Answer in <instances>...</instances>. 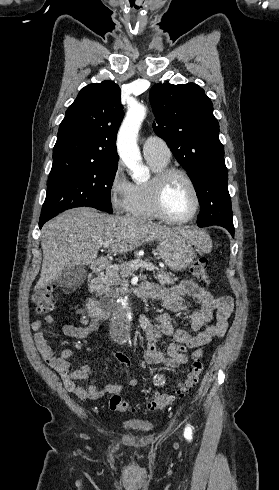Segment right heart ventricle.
Masks as SVG:
<instances>
[{
    "label": "right heart ventricle",
    "mask_w": 279,
    "mask_h": 490,
    "mask_svg": "<svg viewBox=\"0 0 279 490\" xmlns=\"http://www.w3.org/2000/svg\"><path fill=\"white\" fill-rule=\"evenodd\" d=\"M154 172H158L167 167V162H161L155 159H147ZM153 190L154 180L146 183L136 184L134 187V203L128 215L139 220L159 219L153 207Z\"/></svg>",
    "instance_id": "e07e8e85"
}]
</instances>
